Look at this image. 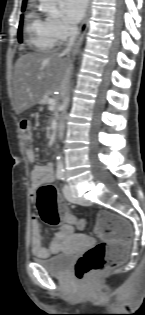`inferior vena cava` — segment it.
I'll list each match as a JSON object with an SVG mask.
<instances>
[{"label":"inferior vena cava","mask_w":145,"mask_h":315,"mask_svg":"<svg viewBox=\"0 0 145 315\" xmlns=\"http://www.w3.org/2000/svg\"><path fill=\"white\" fill-rule=\"evenodd\" d=\"M77 34H78V27L75 26V25L70 26L69 27V32H68L69 40H68V43L66 45V49L62 53L63 55L69 53V51L71 50L72 46L74 45V42H75Z\"/></svg>","instance_id":"inferior-vena-cava-1"}]
</instances>
